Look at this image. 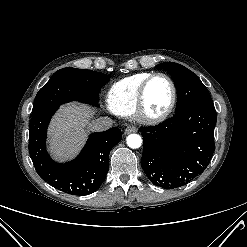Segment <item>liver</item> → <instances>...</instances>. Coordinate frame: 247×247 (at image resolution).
I'll use <instances>...</instances> for the list:
<instances>
[{"instance_id":"obj_1","label":"liver","mask_w":247,"mask_h":247,"mask_svg":"<svg viewBox=\"0 0 247 247\" xmlns=\"http://www.w3.org/2000/svg\"><path fill=\"white\" fill-rule=\"evenodd\" d=\"M94 110L84 104L60 108L48 130V143L54 158L65 160L78 153L90 129Z\"/></svg>"}]
</instances>
